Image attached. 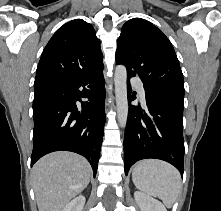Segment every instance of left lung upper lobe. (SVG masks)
<instances>
[{"mask_svg":"<svg viewBox=\"0 0 221 211\" xmlns=\"http://www.w3.org/2000/svg\"><path fill=\"white\" fill-rule=\"evenodd\" d=\"M116 63L127 73L137 74L150 89L184 94L183 74L174 48L152 23L133 18L127 21L117 42Z\"/></svg>","mask_w":221,"mask_h":211,"instance_id":"5c2ea615","label":"left lung upper lobe"}]
</instances>
